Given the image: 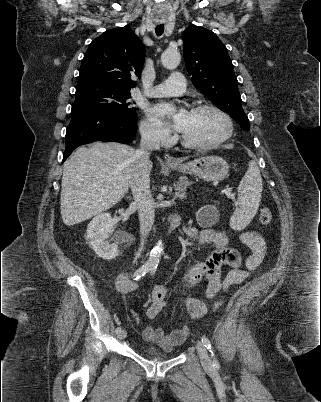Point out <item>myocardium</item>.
Returning <instances> with one entry per match:
<instances>
[{
    "mask_svg": "<svg viewBox=\"0 0 321 402\" xmlns=\"http://www.w3.org/2000/svg\"><path fill=\"white\" fill-rule=\"evenodd\" d=\"M201 110H213V111L217 112L220 116H222V118L224 119V121L226 123L225 133L217 140H214L212 142H207V143H197V142L190 141L189 139L186 138L185 135H183L181 133V136H180L181 142L185 147L191 148V149L208 150V149L217 148L220 145L227 142L232 137L233 132H234L233 120H232L231 116L224 109H222L221 107H219L215 104L202 103V104L195 105L191 109V111H193V112L201 111Z\"/></svg>",
    "mask_w": 321,
    "mask_h": 402,
    "instance_id": "obj_1",
    "label": "myocardium"
}]
</instances>
